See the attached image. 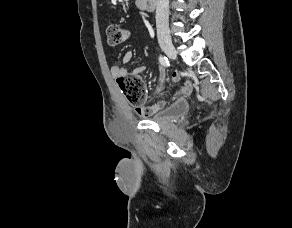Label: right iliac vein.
Returning <instances> with one entry per match:
<instances>
[{"label": "right iliac vein", "instance_id": "63e3f726", "mask_svg": "<svg viewBox=\"0 0 292 228\" xmlns=\"http://www.w3.org/2000/svg\"><path fill=\"white\" fill-rule=\"evenodd\" d=\"M162 51L171 59H177V51L170 41H163L160 43Z\"/></svg>", "mask_w": 292, "mask_h": 228}]
</instances>
